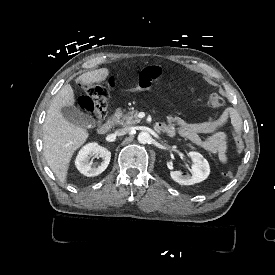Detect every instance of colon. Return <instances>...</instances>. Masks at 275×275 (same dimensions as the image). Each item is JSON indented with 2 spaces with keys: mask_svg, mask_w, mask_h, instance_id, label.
<instances>
[{
  "mask_svg": "<svg viewBox=\"0 0 275 275\" xmlns=\"http://www.w3.org/2000/svg\"><path fill=\"white\" fill-rule=\"evenodd\" d=\"M80 86H85V89L90 92V95H81L77 98L78 105L86 112H93L94 118L97 120L103 119L106 114L108 107V97L107 93L97 88V84L94 81H88L86 83L85 79L79 80ZM208 105L212 107H222L225 104L223 96L219 94L212 93L207 99ZM236 146L239 152L243 149V143L239 137H236ZM233 176L231 170H225L223 172V177L230 178Z\"/></svg>",
  "mask_w": 275,
  "mask_h": 275,
  "instance_id": "1",
  "label": "colon"
}]
</instances>
